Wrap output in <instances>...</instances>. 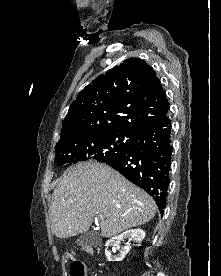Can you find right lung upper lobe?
Listing matches in <instances>:
<instances>
[{
	"instance_id": "1",
	"label": "right lung upper lobe",
	"mask_w": 221,
	"mask_h": 276,
	"mask_svg": "<svg viewBox=\"0 0 221 276\" xmlns=\"http://www.w3.org/2000/svg\"><path fill=\"white\" fill-rule=\"evenodd\" d=\"M169 104L152 67L129 58L87 85L71 104L59 142L95 133L131 136L168 113Z\"/></svg>"
}]
</instances>
